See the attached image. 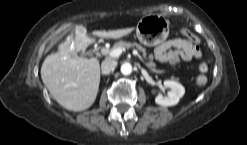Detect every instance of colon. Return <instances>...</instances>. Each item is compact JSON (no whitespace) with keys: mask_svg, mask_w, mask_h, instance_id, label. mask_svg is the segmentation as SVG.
Wrapping results in <instances>:
<instances>
[{"mask_svg":"<svg viewBox=\"0 0 247 145\" xmlns=\"http://www.w3.org/2000/svg\"><path fill=\"white\" fill-rule=\"evenodd\" d=\"M183 34L186 37L190 38V39H194L195 38V35L193 33H191L190 31H188V30H184ZM208 69H209L208 64L205 63V62H202L199 65V71L201 72V74L199 76H197V78L195 79V84L198 87H203V86L206 85L207 77L205 76V73H207Z\"/></svg>","mask_w":247,"mask_h":145,"instance_id":"colon-1","label":"colon"}]
</instances>
